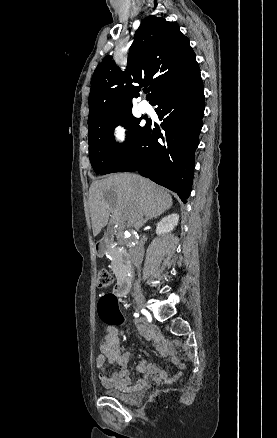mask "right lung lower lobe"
I'll use <instances>...</instances> for the list:
<instances>
[{"label":"right lung lower lobe","mask_w":277,"mask_h":438,"mask_svg":"<svg viewBox=\"0 0 277 438\" xmlns=\"http://www.w3.org/2000/svg\"><path fill=\"white\" fill-rule=\"evenodd\" d=\"M165 68L171 71L176 67L167 63ZM151 104L158 106L162 129L147 121L138 143L114 172L138 171L176 192L186 203L192 189L194 153L205 107L200 71L161 90Z\"/></svg>","instance_id":"right-lung-lower-lobe-1"}]
</instances>
